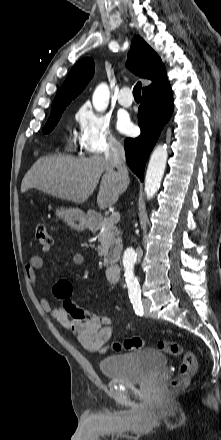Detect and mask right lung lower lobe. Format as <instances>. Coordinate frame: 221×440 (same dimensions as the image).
<instances>
[{"mask_svg":"<svg viewBox=\"0 0 221 440\" xmlns=\"http://www.w3.org/2000/svg\"><path fill=\"white\" fill-rule=\"evenodd\" d=\"M172 111V92L168 82L143 92L138 112L141 135L124 142L127 164L141 181L147 158Z\"/></svg>","mask_w":221,"mask_h":440,"instance_id":"right-lung-lower-lobe-1","label":"right lung lower lobe"}]
</instances>
